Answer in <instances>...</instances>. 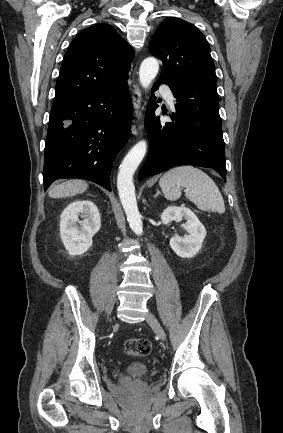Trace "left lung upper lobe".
<instances>
[{
  "label": "left lung upper lobe",
  "mask_w": 283,
  "mask_h": 433,
  "mask_svg": "<svg viewBox=\"0 0 283 433\" xmlns=\"http://www.w3.org/2000/svg\"><path fill=\"white\" fill-rule=\"evenodd\" d=\"M149 51L163 61L159 80L175 92V108L221 123L215 65L205 36L192 24L168 17L152 36Z\"/></svg>",
  "instance_id": "1"
}]
</instances>
